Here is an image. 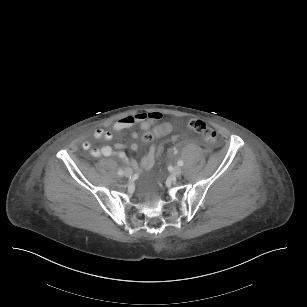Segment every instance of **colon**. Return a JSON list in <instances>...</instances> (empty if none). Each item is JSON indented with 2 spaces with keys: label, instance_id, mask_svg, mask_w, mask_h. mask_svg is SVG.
Here are the masks:
<instances>
[{
  "label": "colon",
  "instance_id": "colon-1",
  "mask_svg": "<svg viewBox=\"0 0 307 307\" xmlns=\"http://www.w3.org/2000/svg\"><path fill=\"white\" fill-rule=\"evenodd\" d=\"M186 127L187 129L191 130V131H196L198 133H201L204 135V137L206 138V140L209 143H215L217 141V133L215 130L211 129L210 127H208L202 120L200 119H189L187 120L186 123ZM172 130L171 125L166 124L164 126L161 127H155L153 128L152 132H147L144 135L145 140L147 141H152L154 140L155 136L158 135H165L170 133Z\"/></svg>",
  "mask_w": 307,
  "mask_h": 307
}]
</instances>
